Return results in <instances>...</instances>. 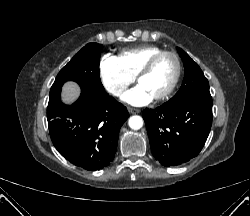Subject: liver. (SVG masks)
I'll use <instances>...</instances> for the list:
<instances>
[{"label":"liver","instance_id":"obj_1","mask_svg":"<svg viewBox=\"0 0 250 216\" xmlns=\"http://www.w3.org/2000/svg\"><path fill=\"white\" fill-rule=\"evenodd\" d=\"M79 87L75 83H67L63 89V98L66 102H71L79 95Z\"/></svg>","mask_w":250,"mask_h":216}]
</instances>
